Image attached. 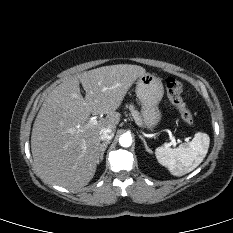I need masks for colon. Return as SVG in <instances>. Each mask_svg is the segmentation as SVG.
I'll return each mask as SVG.
<instances>
[{
  "mask_svg": "<svg viewBox=\"0 0 233 233\" xmlns=\"http://www.w3.org/2000/svg\"><path fill=\"white\" fill-rule=\"evenodd\" d=\"M165 88L170 102L175 106L182 120L187 124H193V115L181 96V83L173 77H168L165 81Z\"/></svg>",
  "mask_w": 233,
  "mask_h": 233,
  "instance_id": "1",
  "label": "colon"
}]
</instances>
